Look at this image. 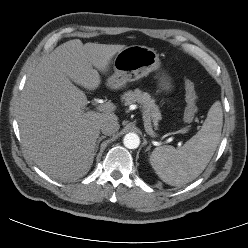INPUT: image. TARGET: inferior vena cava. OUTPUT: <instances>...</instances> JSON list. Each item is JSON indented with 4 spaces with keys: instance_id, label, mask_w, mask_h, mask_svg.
<instances>
[{
    "instance_id": "1",
    "label": "inferior vena cava",
    "mask_w": 248,
    "mask_h": 248,
    "mask_svg": "<svg viewBox=\"0 0 248 248\" xmlns=\"http://www.w3.org/2000/svg\"><path fill=\"white\" fill-rule=\"evenodd\" d=\"M119 123L117 122L116 119H105L101 125H100V129L102 131L103 134L105 135H112L115 132H117L119 130Z\"/></svg>"
}]
</instances>
